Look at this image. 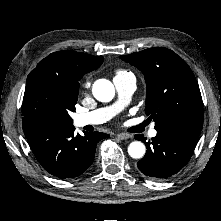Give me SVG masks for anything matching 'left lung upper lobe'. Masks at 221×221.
Instances as JSON below:
<instances>
[{"label":"left lung upper lobe","mask_w":221,"mask_h":221,"mask_svg":"<svg viewBox=\"0 0 221 221\" xmlns=\"http://www.w3.org/2000/svg\"><path fill=\"white\" fill-rule=\"evenodd\" d=\"M122 60L145 76V112L155 119V129L187 127L202 130L203 104L196 78L188 64L167 48H149Z\"/></svg>","instance_id":"left-lung-upper-lobe-1"}]
</instances>
